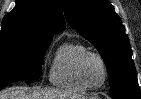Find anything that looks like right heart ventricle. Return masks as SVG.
I'll return each mask as SVG.
<instances>
[{
    "mask_svg": "<svg viewBox=\"0 0 141 99\" xmlns=\"http://www.w3.org/2000/svg\"><path fill=\"white\" fill-rule=\"evenodd\" d=\"M86 51V47L78 41L60 45L49 68V81L66 91L75 93L87 91L88 88L80 81L77 72L79 59Z\"/></svg>",
    "mask_w": 141,
    "mask_h": 99,
    "instance_id": "1",
    "label": "right heart ventricle"
}]
</instances>
